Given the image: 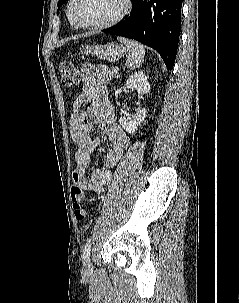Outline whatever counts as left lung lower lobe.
Listing matches in <instances>:
<instances>
[{"label":"left lung lower lobe","mask_w":239,"mask_h":303,"mask_svg":"<svg viewBox=\"0 0 239 303\" xmlns=\"http://www.w3.org/2000/svg\"><path fill=\"white\" fill-rule=\"evenodd\" d=\"M130 16L105 33L135 39L155 49L167 69L174 66L181 31L182 0H132Z\"/></svg>","instance_id":"obj_1"}]
</instances>
